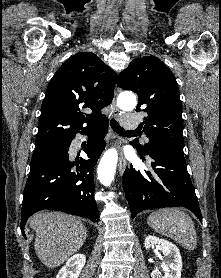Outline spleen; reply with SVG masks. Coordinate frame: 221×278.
I'll return each instance as SVG.
<instances>
[{"label": "spleen", "instance_id": "3e777b00", "mask_svg": "<svg viewBox=\"0 0 221 278\" xmlns=\"http://www.w3.org/2000/svg\"><path fill=\"white\" fill-rule=\"evenodd\" d=\"M148 225L157 233L170 237L185 249L197 246V235L192 219L176 208L154 211L148 217Z\"/></svg>", "mask_w": 221, "mask_h": 278}]
</instances>
